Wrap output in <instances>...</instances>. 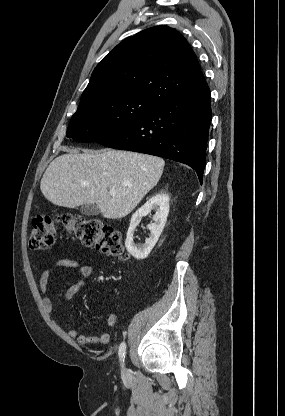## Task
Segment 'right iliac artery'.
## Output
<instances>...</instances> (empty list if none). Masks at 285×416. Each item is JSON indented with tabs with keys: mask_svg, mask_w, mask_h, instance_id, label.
<instances>
[{
	"mask_svg": "<svg viewBox=\"0 0 285 416\" xmlns=\"http://www.w3.org/2000/svg\"><path fill=\"white\" fill-rule=\"evenodd\" d=\"M125 353H126V344H125V342H122L120 344V347H119V357H120V361H123L124 362Z\"/></svg>",
	"mask_w": 285,
	"mask_h": 416,
	"instance_id": "obj_1",
	"label": "right iliac artery"
}]
</instances>
